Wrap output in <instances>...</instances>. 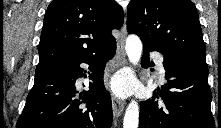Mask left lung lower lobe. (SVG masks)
Segmentation results:
<instances>
[{
    "label": "left lung lower lobe",
    "instance_id": "obj_1",
    "mask_svg": "<svg viewBox=\"0 0 221 128\" xmlns=\"http://www.w3.org/2000/svg\"><path fill=\"white\" fill-rule=\"evenodd\" d=\"M150 51L158 50L143 46L141 65L144 68L154 65L149 61ZM160 53L164 56L167 83L154 90L153 99L140 103L139 128H215L207 67Z\"/></svg>",
    "mask_w": 221,
    "mask_h": 128
}]
</instances>
